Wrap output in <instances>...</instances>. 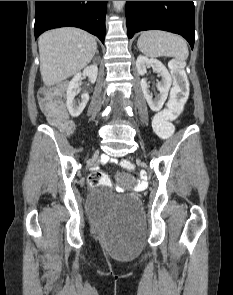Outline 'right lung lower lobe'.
I'll return each instance as SVG.
<instances>
[{
	"instance_id": "1",
	"label": "right lung lower lobe",
	"mask_w": 233,
	"mask_h": 295,
	"mask_svg": "<svg viewBox=\"0 0 233 295\" xmlns=\"http://www.w3.org/2000/svg\"><path fill=\"white\" fill-rule=\"evenodd\" d=\"M106 7L107 1H36L35 38L52 28L74 26L104 43Z\"/></svg>"
}]
</instances>
